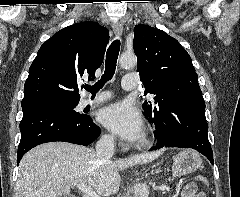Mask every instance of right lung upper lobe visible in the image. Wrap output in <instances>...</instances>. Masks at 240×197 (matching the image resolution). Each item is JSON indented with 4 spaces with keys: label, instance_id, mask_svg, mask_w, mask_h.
Segmentation results:
<instances>
[{
    "label": "right lung upper lobe",
    "instance_id": "1",
    "mask_svg": "<svg viewBox=\"0 0 240 197\" xmlns=\"http://www.w3.org/2000/svg\"><path fill=\"white\" fill-rule=\"evenodd\" d=\"M109 32L96 22H81L55 33L40 47L29 69L22 107L52 101H79L82 77L95 78Z\"/></svg>",
    "mask_w": 240,
    "mask_h": 197
}]
</instances>
